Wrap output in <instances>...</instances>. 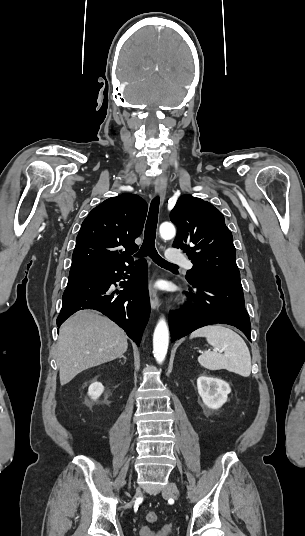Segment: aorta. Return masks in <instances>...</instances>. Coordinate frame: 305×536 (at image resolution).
<instances>
[{
  "label": "aorta",
  "instance_id": "obj_1",
  "mask_svg": "<svg viewBox=\"0 0 305 536\" xmlns=\"http://www.w3.org/2000/svg\"><path fill=\"white\" fill-rule=\"evenodd\" d=\"M160 236L169 240L175 236V227L172 223L164 222L160 225L159 228ZM169 344V329L164 318H161L154 330L153 335V354L156 361L161 364L163 363Z\"/></svg>",
  "mask_w": 305,
  "mask_h": 536
}]
</instances>
